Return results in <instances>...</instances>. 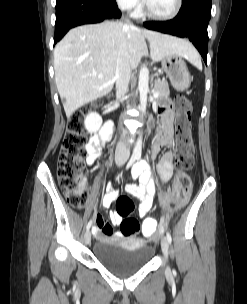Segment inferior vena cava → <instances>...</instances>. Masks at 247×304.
Masks as SVG:
<instances>
[{"label": "inferior vena cava", "instance_id": "obj_1", "mask_svg": "<svg viewBox=\"0 0 247 304\" xmlns=\"http://www.w3.org/2000/svg\"><path fill=\"white\" fill-rule=\"evenodd\" d=\"M131 77V66L129 62V53L125 41H122L117 58V66L115 71L116 81V97L122 99L125 97ZM124 136V133H123ZM129 158V148L124 142H119L115 151V162L122 165Z\"/></svg>", "mask_w": 247, "mask_h": 304}]
</instances>
